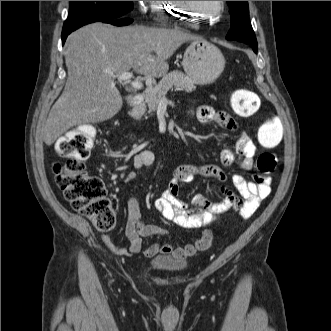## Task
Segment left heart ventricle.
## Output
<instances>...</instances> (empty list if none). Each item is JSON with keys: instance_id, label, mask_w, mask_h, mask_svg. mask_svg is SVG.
Masks as SVG:
<instances>
[{"instance_id": "b2bd125f", "label": "left heart ventricle", "mask_w": 331, "mask_h": 331, "mask_svg": "<svg viewBox=\"0 0 331 331\" xmlns=\"http://www.w3.org/2000/svg\"><path fill=\"white\" fill-rule=\"evenodd\" d=\"M194 10L202 15H212L218 8V1H190Z\"/></svg>"}]
</instances>
